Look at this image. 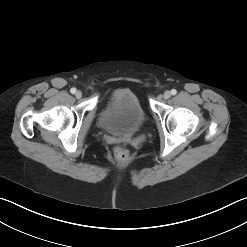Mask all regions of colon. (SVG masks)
<instances>
[{"label": "colon", "mask_w": 247, "mask_h": 247, "mask_svg": "<svg viewBox=\"0 0 247 247\" xmlns=\"http://www.w3.org/2000/svg\"><path fill=\"white\" fill-rule=\"evenodd\" d=\"M115 158L120 163H126L129 160V153L121 147H117L114 151Z\"/></svg>", "instance_id": "colon-1"}]
</instances>
